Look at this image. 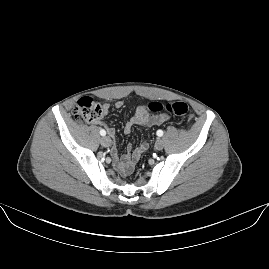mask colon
<instances>
[{"label": "colon", "mask_w": 269, "mask_h": 269, "mask_svg": "<svg viewBox=\"0 0 269 269\" xmlns=\"http://www.w3.org/2000/svg\"><path fill=\"white\" fill-rule=\"evenodd\" d=\"M149 109L153 112L166 111L168 114L189 118L193 117L192 111L188 105L182 101H170L166 103L153 102L149 105ZM73 116L79 123L94 122L101 119L103 110L101 104L93 97H82L80 98L73 108ZM130 166L125 168V171H129Z\"/></svg>", "instance_id": "5ec220e1"}]
</instances>
